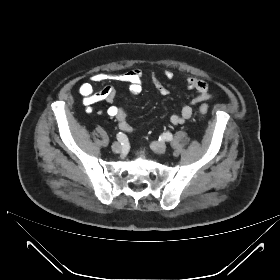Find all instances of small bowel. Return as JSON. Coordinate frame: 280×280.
Listing matches in <instances>:
<instances>
[{"mask_svg": "<svg viewBox=\"0 0 280 280\" xmlns=\"http://www.w3.org/2000/svg\"><path fill=\"white\" fill-rule=\"evenodd\" d=\"M163 76L170 80L174 77V73L170 69H164ZM151 80L162 96H167L170 93L169 89L162 83L157 74L152 73ZM91 81H113L127 83L130 94L138 95L141 92L143 86V71L139 68H134L118 73H95L91 76ZM186 87L189 90L195 91L197 96L189 103L183 104L179 114L171 115L170 121L172 124L178 125L188 122L193 115V108L198 104L206 102L212 97L211 93L209 92L208 84L204 80L197 77H186ZM78 91L82 96V103L88 111H91L92 106L98 102L106 101L108 103H112L116 96V89L113 86L107 85L101 90L95 91L91 82L81 83ZM107 112L110 116L117 120L120 130L126 133H132L133 129L128 123L126 111L122 107L111 105Z\"/></svg>", "mask_w": 280, "mask_h": 280, "instance_id": "small-bowel-1", "label": "small bowel"}]
</instances>
